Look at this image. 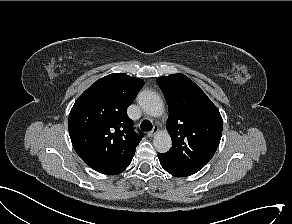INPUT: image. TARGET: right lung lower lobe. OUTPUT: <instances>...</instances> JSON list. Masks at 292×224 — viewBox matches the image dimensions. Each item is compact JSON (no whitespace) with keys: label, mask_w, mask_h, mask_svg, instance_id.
Returning a JSON list of instances; mask_svg holds the SVG:
<instances>
[{"label":"right lung lower lobe","mask_w":292,"mask_h":224,"mask_svg":"<svg viewBox=\"0 0 292 224\" xmlns=\"http://www.w3.org/2000/svg\"><path fill=\"white\" fill-rule=\"evenodd\" d=\"M133 156L128 159L116 161V162H107L101 164H87L89 167L94 169L97 172L108 174V175H116L123 172L131 163Z\"/></svg>","instance_id":"98d812e1"}]
</instances>
